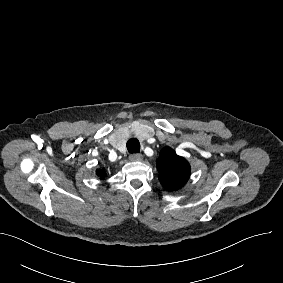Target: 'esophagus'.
<instances>
[{"mask_svg": "<svg viewBox=\"0 0 283 283\" xmlns=\"http://www.w3.org/2000/svg\"><path fill=\"white\" fill-rule=\"evenodd\" d=\"M129 160L132 161V162L142 161L143 160V155L140 154V153L131 154L129 156Z\"/></svg>", "mask_w": 283, "mask_h": 283, "instance_id": "esophagus-1", "label": "esophagus"}]
</instances>
